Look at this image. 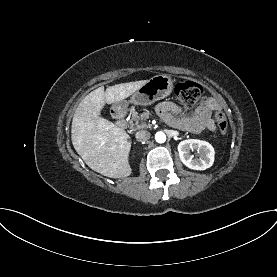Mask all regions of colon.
Wrapping results in <instances>:
<instances>
[{"label":"colon","instance_id":"5ec220e1","mask_svg":"<svg viewBox=\"0 0 277 277\" xmlns=\"http://www.w3.org/2000/svg\"><path fill=\"white\" fill-rule=\"evenodd\" d=\"M202 93V87L193 81L178 82L174 87V95L176 99L186 107L193 106L202 97ZM215 118L220 132L225 134L228 126L224 113L222 111H217Z\"/></svg>","mask_w":277,"mask_h":277}]
</instances>
